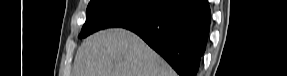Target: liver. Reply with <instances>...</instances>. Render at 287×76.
Masks as SVG:
<instances>
[{
    "label": "liver",
    "instance_id": "6515ba94",
    "mask_svg": "<svg viewBox=\"0 0 287 76\" xmlns=\"http://www.w3.org/2000/svg\"><path fill=\"white\" fill-rule=\"evenodd\" d=\"M74 76H176L140 37L108 29L86 38L74 59Z\"/></svg>",
    "mask_w": 287,
    "mask_h": 76
}]
</instances>
